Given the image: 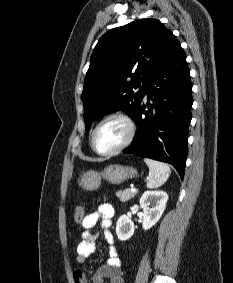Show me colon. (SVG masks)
<instances>
[{"label":"colon","instance_id":"1","mask_svg":"<svg viewBox=\"0 0 233 283\" xmlns=\"http://www.w3.org/2000/svg\"><path fill=\"white\" fill-rule=\"evenodd\" d=\"M85 218V210L83 205H78L73 212V224L77 227L83 224Z\"/></svg>","mask_w":233,"mask_h":283}]
</instances>
